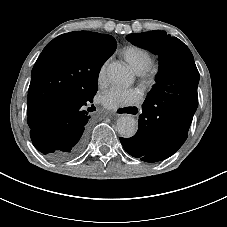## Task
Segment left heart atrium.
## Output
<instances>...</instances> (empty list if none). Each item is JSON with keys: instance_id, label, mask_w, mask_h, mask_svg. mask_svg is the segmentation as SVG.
<instances>
[{"instance_id": "39dd6f15", "label": "left heart atrium", "mask_w": 227, "mask_h": 227, "mask_svg": "<svg viewBox=\"0 0 227 227\" xmlns=\"http://www.w3.org/2000/svg\"><path fill=\"white\" fill-rule=\"evenodd\" d=\"M144 99L141 88L112 87L102 94L101 102L109 109L127 108L138 105Z\"/></svg>"}]
</instances>
